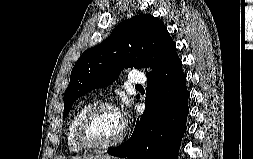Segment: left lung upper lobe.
<instances>
[{"label": "left lung upper lobe", "instance_id": "1", "mask_svg": "<svg viewBox=\"0 0 253 159\" xmlns=\"http://www.w3.org/2000/svg\"><path fill=\"white\" fill-rule=\"evenodd\" d=\"M175 53L176 44L158 18L144 14L121 22L104 42L86 50L76 62L64 93L63 118L78 98L110 85L124 68L150 66L153 72L148 77Z\"/></svg>", "mask_w": 253, "mask_h": 159}]
</instances>
